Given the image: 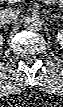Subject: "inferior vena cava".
Wrapping results in <instances>:
<instances>
[{"instance_id":"inferior-vena-cava-1","label":"inferior vena cava","mask_w":63,"mask_h":107,"mask_svg":"<svg viewBox=\"0 0 63 107\" xmlns=\"http://www.w3.org/2000/svg\"><path fill=\"white\" fill-rule=\"evenodd\" d=\"M18 11L7 8L0 11V25L11 24L18 16Z\"/></svg>"}]
</instances>
